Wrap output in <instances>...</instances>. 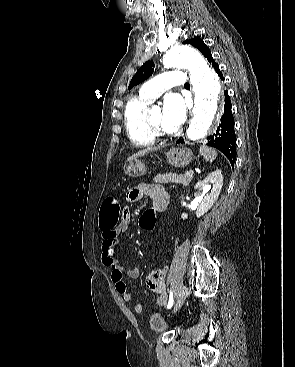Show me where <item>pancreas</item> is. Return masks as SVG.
Here are the masks:
<instances>
[{"instance_id":"1","label":"pancreas","mask_w":295,"mask_h":367,"mask_svg":"<svg viewBox=\"0 0 295 367\" xmlns=\"http://www.w3.org/2000/svg\"><path fill=\"white\" fill-rule=\"evenodd\" d=\"M192 176H187V175H177V174H165V175H157L156 177H154V182L155 183H181L183 185H188L191 180H192Z\"/></svg>"}]
</instances>
